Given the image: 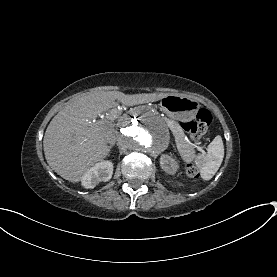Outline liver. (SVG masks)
I'll return each instance as SVG.
<instances>
[{
    "label": "liver",
    "instance_id": "6515ba94",
    "mask_svg": "<svg viewBox=\"0 0 277 277\" xmlns=\"http://www.w3.org/2000/svg\"><path fill=\"white\" fill-rule=\"evenodd\" d=\"M168 95L96 91L79 97L60 110L45 131L43 149L48 165L68 182L80 183L93 166L110 156L109 144L119 137L111 117L97 121V116L117 107V102L135 106L156 102ZM120 125L128 126L130 121L126 119Z\"/></svg>",
    "mask_w": 277,
    "mask_h": 277
}]
</instances>
